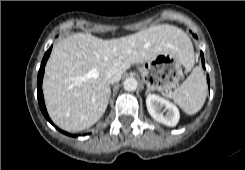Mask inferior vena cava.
<instances>
[{
  "mask_svg": "<svg viewBox=\"0 0 245 170\" xmlns=\"http://www.w3.org/2000/svg\"><path fill=\"white\" fill-rule=\"evenodd\" d=\"M121 77L122 73L115 67H111L105 72V78L111 84L118 82Z\"/></svg>",
  "mask_w": 245,
  "mask_h": 170,
  "instance_id": "obj_1",
  "label": "inferior vena cava"
}]
</instances>
